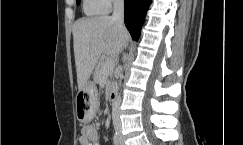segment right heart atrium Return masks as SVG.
<instances>
[{"instance_id": "1", "label": "right heart atrium", "mask_w": 243, "mask_h": 145, "mask_svg": "<svg viewBox=\"0 0 243 145\" xmlns=\"http://www.w3.org/2000/svg\"><path fill=\"white\" fill-rule=\"evenodd\" d=\"M103 2V4L105 5V7L108 9L110 8L114 3H117L121 0H101Z\"/></svg>"}]
</instances>
